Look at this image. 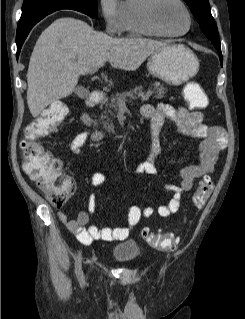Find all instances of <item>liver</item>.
Wrapping results in <instances>:
<instances>
[{"mask_svg": "<svg viewBox=\"0 0 245 319\" xmlns=\"http://www.w3.org/2000/svg\"><path fill=\"white\" fill-rule=\"evenodd\" d=\"M166 43L145 38H112L86 22L62 17L39 36L27 72V103L37 117L51 103L69 96L80 75L109 62L134 71Z\"/></svg>", "mask_w": 245, "mask_h": 319, "instance_id": "liver-1", "label": "liver"}]
</instances>
